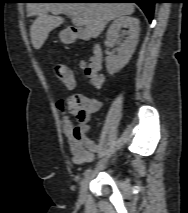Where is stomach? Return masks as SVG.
Wrapping results in <instances>:
<instances>
[{
  "mask_svg": "<svg viewBox=\"0 0 188 213\" xmlns=\"http://www.w3.org/2000/svg\"><path fill=\"white\" fill-rule=\"evenodd\" d=\"M60 39L64 43H70L72 41V36L64 31L60 33Z\"/></svg>",
  "mask_w": 188,
  "mask_h": 213,
  "instance_id": "0dacf381",
  "label": "stomach"
}]
</instances>
